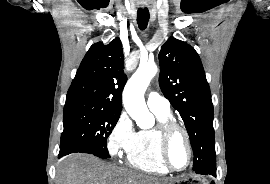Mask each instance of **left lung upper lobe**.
<instances>
[{
	"label": "left lung upper lobe",
	"mask_w": 270,
	"mask_h": 184,
	"mask_svg": "<svg viewBox=\"0 0 270 184\" xmlns=\"http://www.w3.org/2000/svg\"><path fill=\"white\" fill-rule=\"evenodd\" d=\"M159 60V85L184 121L194 153L193 170H215L213 104L199 55L171 37L162 45Z\"/></svg>",
	"instance_id": "left-lung-upper-lobe-1"
}]
</instances>
